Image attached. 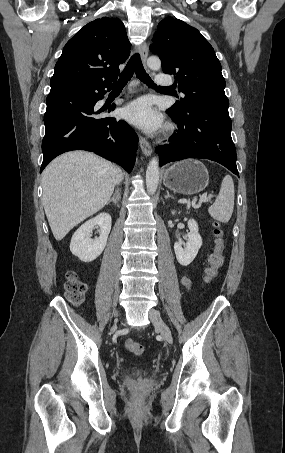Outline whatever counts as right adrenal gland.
I'll return each mask as SVG.
<instances>
[{
    "instance_id": "right-adrenal-gland-1",
    "label": "right adrenal gland",
    "mask_w": 285,
    "mask_h": 453,
    "mask_svg": "<svg viewBox=\"0 0 285 453\" xmlns=\"http://www.w3.org/2000/svg\"><path fill=\"white\" fill-rule=\"evenodd\" d=\"M120 200H121V195L118 191H116L115 194L113 195V197L111 199H109V201L107 202V205L110 204L111 202L118 205V202Z\"/></svg>"
}]
</instances>
